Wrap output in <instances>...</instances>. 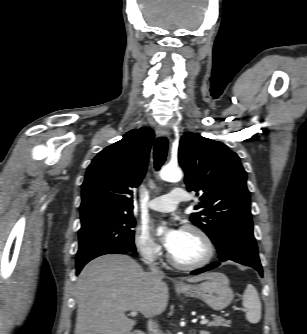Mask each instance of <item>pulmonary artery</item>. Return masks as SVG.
I'll list each match as a JSON object with an SVG mask.
<instances>
[{
  "mask_svg": "<svg viewBox=\"0 0 307 334\" xmlns=\"http://www.w3.org/2000/svg\"><path fill=\"white\" fill-rule=\"evenodd\" d=\"M185 190L182 188H174L169 193L153 198L148 207L158 212L173 211L180 202L186 201Z\"/></svg>",
  "mask_w": 307,
  "mask_h": 334,
  "instance_id": "obj_1",
  "label": "pulmonary artery"
}]
</instances>
